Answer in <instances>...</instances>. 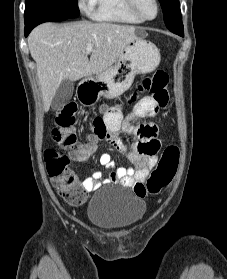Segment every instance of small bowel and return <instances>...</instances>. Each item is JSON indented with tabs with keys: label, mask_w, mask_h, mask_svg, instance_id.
I'll list each match as a JSON object with an SVG mask.
<instances>
[{
	"label": "small bowel",
	"mask_w": 227,
	"mask_h": 279,
	"mask_svg": "<svg viewBox=\"0 0 227 279\" xmlns=\"http://www.w3.org/2000/svg\"><path fill=\"white\" fill-rule=\"evenodd\" d=\"M149 99L145 98L140 101L139 103V109L141 111V105L143 103L148 102ZM157 110H153L146 114V116H153L155 115ZM105 121V127L107 130L101 134H96L87 132L86 133V139L89 143V145L94 146L99 141L106 140L110 143H112L115 148L122 153L126 158H128L132 163L135 164V166H129V167H118L110 172V174L107 177H104L103 173L100 171H96L92 173V175L86 177L83 180V189L85 191V194H83L80 198V204L85 202L87 198V194L95 191L98 189L102 184L105 183H124L128 184L130 180H135L139 182L142 187L145 189V181L149 175V171L156 165L158 161L157 152L150 157H147L141 153H137L134 150L129 149L126 145L123 144V142L117 137L118 130L116 131H110L108 130L109 127L112 125H118L119 128L122 125L123 129L130 128L132 126L130 120H123L120 113H110ZM141 126H148L153 129L154 134L153 136L145 137L143 138V143L152 142L155 143L158 148L160 147V140L158 138V134L160 132V126L156 123H144ZM99 162L102 166H104L107 169H110L113 167L114 162L110 154L103 153L99 157ZM51 181L53 183L57 182L56 178H51Z\"/></svg>",
	"instance_id": "small-bowel-1"
}]
</instances>
